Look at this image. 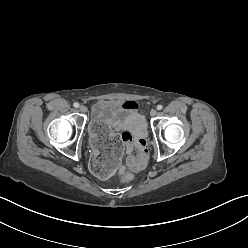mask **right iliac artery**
<instances>
[{
    "label": "right iliac artery",
    "instance_id": "82829eb1",
    "mask_svg": "<svg viewBox=\"0 0 248 248\" xmlns=\"http://www.w3.org/2000/svg\"><path fill=\"white\" fill-rule=\"evenodd\" d=\"M73 106H74L75 108H78V107H79V103L75 102V103L73 104Z\"/></svg>",
    "mask_w": 248,
    "mask_h": 248
}]
</instances>
